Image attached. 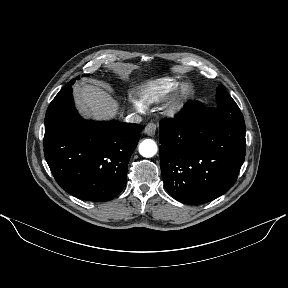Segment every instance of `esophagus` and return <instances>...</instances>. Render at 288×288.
I'll return each instance as SVG.
<instances>
[{
  "label": "esophagus",
  "mask_w": 288,
  "mask_h": 288,
  "mask_svg": "<svg viewBox=\"0 0 288 288\" xmlns=\"http://www.w3.org/2000/svg\"><path fill=\"white\" fill-rule=\"evenodd\" d=\"M157 126L155 123L150 122L144 128V133L148 136L153 137L156 134Z\"/></svg>",
  "instance_id": "34e87169"
}]
</instances>
